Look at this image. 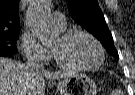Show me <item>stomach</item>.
I'll use <instances>...</instances> for the list:
<instances>
[{
  "label": "stomach",
  "instance_id": "obj_1",
  "mask_svg": "<svg viewBox=\"0 0 135 95\" xmlns=\"http://www.w3.org/2000/svg\"><path fill=\"white\" fill-rule=\"evenodd\" d=\"M60 95H97L95 81L83 73H74L57 84Z\"/></svg>",
  "mask_w": 135,
  "mask_h": 95
}]
</instances>
